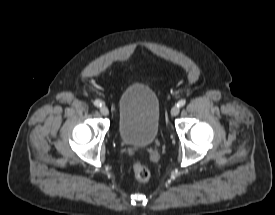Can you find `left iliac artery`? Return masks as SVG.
Returning <instances> with one entry per match:
<instances>
[{"mask_svg": "<svg viewBox=\"0 0 275 215\" xmlns=\"http://www.w3.org/2000/svg\"><path fill=\"white\" fill-rule=\"evenodd\" d=\"M185 104H186V100L182 99V100L178 101L177 106H178V107H182V106H184Z\"/></svg>", "mask_w": 275, "mask_h": 215, "instance_id": "1", "label": "left iliac artery"}]
</instances>
